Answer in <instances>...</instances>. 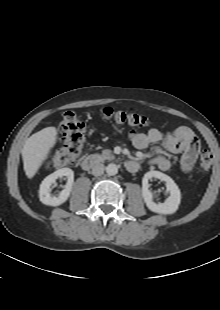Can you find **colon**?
Wrapping results in <instances>:
<instances>
[{
    "instance_id": "obj_1",
    "label": "colon",
    "mask_w": 220,
    "mask_h": 310,
    "mask_svg": "<svg viewBox=\"0 0 220 310\" xmlns=\"http://www.w3.org/2000/svg\"><path fill=\"white\" fill-rule=\"evenodd\" d=\"M103 116L118 123H127L132 126L144 127L150 121L143 113L127 110H115L110 107L103 108ZM63 132L62 146L57 149L50 158V166L64 167L74 163L81 154L85 141V124L72 111H66L61 120ZM213 156L208 150L200 154L199 167L201 171L211 168Z\"/></svg>"
}]
</instances>
